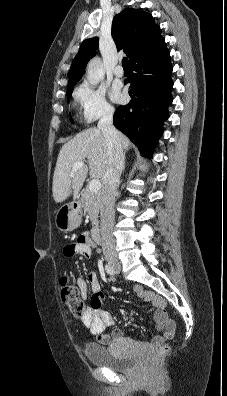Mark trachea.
Returning a JSON list of instances; mask_svg holds the SVG:
<instances>
[{
  "label": "trachea",
  "instance_id": "3493384b",
  "mask_svg": "<svg viewBox=\"0 0 227 396\" xmlns=\"http://www.w3.org/2000/svg\"><path fill=\"white\" fill-rule=\"evenodd\" d=\"M122 66H123V68H129V62H128V58L127 57L123 58Z\"/></svg>",
  "mask_w": 227,
  "mask_h": 396
}]
</instances>
